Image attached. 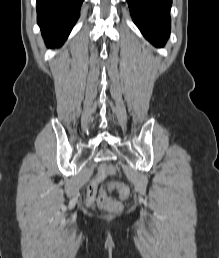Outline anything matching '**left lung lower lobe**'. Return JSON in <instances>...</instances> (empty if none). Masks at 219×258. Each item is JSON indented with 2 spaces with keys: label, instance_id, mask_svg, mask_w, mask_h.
Wrapping results in <instances>:
<instances>
[{
  "label": "left lung lower lobe",
  "instance_id": "obj_1",
  "mask_svg": "<svg viewBox=\"0 0 219 258\" xmlns=\"http://www.w3.org/2000/svg\"><path fill=\"white\" fill-rule=\"evenodd\" d=\"M134 23L156 47H163L170 34L172 0H127Z\"/></svg>",
  "mask_w": 219,
  "mask_h": 258
}]
</instances>
